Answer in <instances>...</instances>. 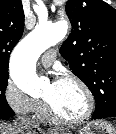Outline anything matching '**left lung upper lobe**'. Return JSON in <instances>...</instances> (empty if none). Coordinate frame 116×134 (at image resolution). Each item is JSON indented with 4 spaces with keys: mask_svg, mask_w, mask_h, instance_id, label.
Wrapping results in <instances>:
<instances>
[{
    "mask_svg": "<svg viewBox=\"0 0 116 134\" xmlns=\"http://www.w3.org/2000/svg\"><path fill=\"white\" fill-rule=\"evenodd\" d=\"M66 13L72 30L60 49L65 63L92 92L95 113L116 110V10L103 0H68Z\"/></svg>",
    "mask_w": 116,
    "mask_h": 134,
    "instance_id": "5c2ea615",
    "label": "left lung upper lobe"
}]
</instances>
